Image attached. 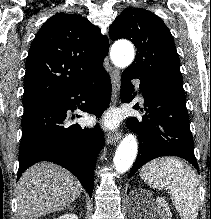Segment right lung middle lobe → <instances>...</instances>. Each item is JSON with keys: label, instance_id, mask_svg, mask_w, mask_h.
Returning a JSON list of instances; mask_svg holds the SVG:
<instances>
[{"label": "right lung middle lobe", "instance_id": "obj_1", "mask_svg": "<svg viewBox=\"0 0 211 219\" xmlns=\"http://www.w3.org/2000/svg\"><path fill=\"white\" fill-rule=\"evenodd\" d=\"M32 107H35V106L24 107V110L30 109V108H32Z\"/></svg>", "mask_w": 211, "mask_h": 219}]
</instances>
